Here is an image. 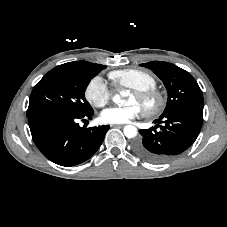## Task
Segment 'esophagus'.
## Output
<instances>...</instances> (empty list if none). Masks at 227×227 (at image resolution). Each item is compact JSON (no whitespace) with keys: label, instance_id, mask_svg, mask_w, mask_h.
Returning a JSON list of instances; mask_svg holds the SVG:
<instances>
[{"label":"esophagus","instance_id":"34e87169","mask_svg":"<svg viewBox=\"0 0 227 227\" xmlns=\"http://www.w3.org/2000/svg\"><path fill=\"white\" fill-rule=\"evenodd\" d=\"M113 127H123L124 125H120V124H114V125H112Z\"/></svg>","mask_w":227,"mask_h":227}]
</instances>
